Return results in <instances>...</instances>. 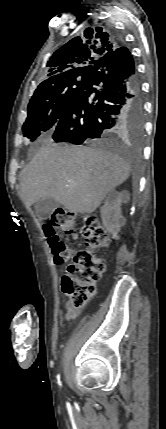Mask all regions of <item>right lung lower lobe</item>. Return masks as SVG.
Returning <instances> with one entry per match:
<instances>
[{
  "label": "right lung lower lobe",
  "instance_id": "1",
  "mask_svg": "<svg viewBox=\"0 0 166 429\" xmlns=\"http://www.w3.org/2000/svg\"><path fill=\"white\" fill-rule=\"evenodd\" d=\"M141 82L133 57L120 46L98 58L53 130L56 142L99 144L128 128L143 130Z\"/></svg>",
  "mask_w": 166,
  "mask_h": 429
}]
</instances>
